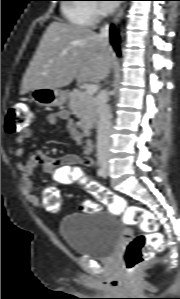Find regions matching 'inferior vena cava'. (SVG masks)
Wrapping results in <instances>:
<instances>
[{
	"instance_id": "1",
	"label": "inferior vena cava",
	"mask_w": 180,
	"mask_h": 299,
	"mask_svg": "<svg viewBox=\"0 0 180 299\" xmlns=\"http://www.w3.org/2000/svg\"><path fill=\"white\" fill-rule=\"evenodd\" d=\"M108 25L101 28L99 36L108 41ZM108 70L105 73L107 77ZM96 112L99 116L98 136H97V156L99 159L105 158L109 154L110 134H111V111L107 104V92L100 91L95 100Z\"/></svg>"
}]
</instances>
